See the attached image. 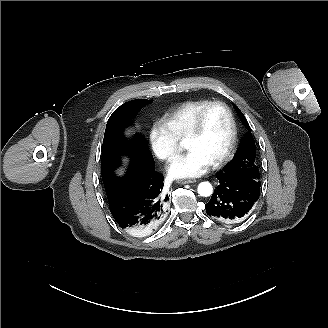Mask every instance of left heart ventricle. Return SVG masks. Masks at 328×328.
<instances>
[{
	"label": "left heart ventricle",
	"instance_id": "1",
	"mask_svg": "<svg viewBox=\"0 0 328 328\" xmlns=\"http://www.w3.org/2000/svg\"><path fill=\"white\" fill-rule=\"evenodd\" d=\"M232 136V125L228 113L221 107L211 109L200 133L183 143L205 155L211 163L218 160L227 150Z\"/></svg>",
	"mask_w": 328,
	"mask_h": 328
}]
</instances>
